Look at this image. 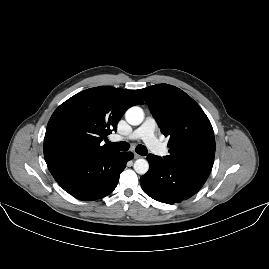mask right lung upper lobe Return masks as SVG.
Here are the masks:
<instances>
[{"label": "right lung upper lobe", "instance_id": "cb5924a9", "mask_svg": "<svg viewBox=\"0 0 269 269\" xmlns=\"http://www.w3.org/2000/svg\"><path fill=\"white\" fill-rule=\"evenodd\" d=\"M139 104L143 101L135 91L109 86L90 88L69 98L48 122L44 138L46 163L113 150L101 142L117 130L125 111Z\"/></svg>", "mask_w": 269, "mask_h": 269}]
</instances>
